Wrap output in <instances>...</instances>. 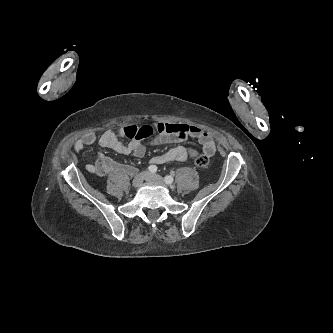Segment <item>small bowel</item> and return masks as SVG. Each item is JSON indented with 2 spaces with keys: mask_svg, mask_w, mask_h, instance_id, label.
<instances>
[{
  "mask_svg": "<svg viewBox=\"0 0 333 333\" xmlns=\"http://www.w3.org/2000/svg\"><path fill=\"white\" fill-rule=\"evenodd\" d=\"M128 137L131 140L123 143L119 138ZM153 137L155 144L174 143L187 138H195L202 146V154L211 157L216 151V145L213 137L196 125L184 123L157 122L152 126H127L119 131H105L98 139L100 146L124 154L143 157L146 153V147L142 139ZM96 141L94 133L85 134L74 143L76 152L82 151L86 146L92 145ZM199 154L196 150H187L183 146L170 148L163 154L152 158L151 162L155 165L165 164L172 161H184L188 156L194 157ZM117 165L103 154H99L93 164L90 165V171L95 174H101L105 171H111ZM125 171L130 172L131 168L125 166Z\"/></svg>",
  "mask_w": 333,
  "mask_h": 333,
  "instance_id": "1",
  "label": "small bowel"
}]
</instances>
